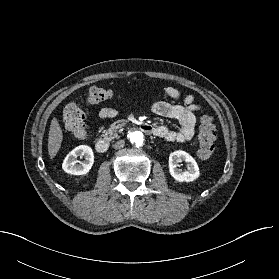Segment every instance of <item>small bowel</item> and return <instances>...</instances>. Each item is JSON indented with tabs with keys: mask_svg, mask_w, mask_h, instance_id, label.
Here are the masks:
<instances>
[{
	"mask_svg": "<svg viewBox=\"0 0 279 279\" xmlns=\"http://www.w3.org/2000/svg\"><path fill=\"white\" fill-rule=\"evenodd\" d=\"M164 94L174 100L181 97L180 91L175 87H165ZM202 110V107L195 103L194 96H184L182 104H171L165 101H158L151 107V111L159 116L176 120L180 124L179 130H170L165 125H158L154 135L169 142H186L193 138L196 127L195 113ZM118 114L114 107L106 106L100 109L101 119L114 118Z\"/></svg>",
	"mask_w": 279,
	"mask_h": 279,
	"instance_id": "1",
	"label": "small bowel"
}]
</instances>
